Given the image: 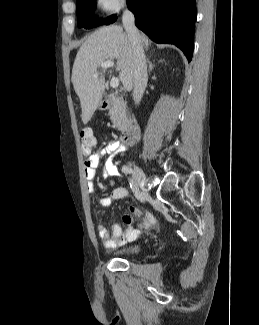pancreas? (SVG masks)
Masks as SVG:
<instances>
[{"instance_id": "obj_1", "label": "pancreas", "mask_w": 259, "mask_h": 325, "mask_svg": "<svg viewBox=\"0 0 259 325\" xmlns=\"http://www.w3.org/2000/svg\"><path fill=\"white\" fill-rule=\"evenodd\" d=\"M110 119L113 125L124 132L127 129L129 119L127 115L126 105L120 98L115 95L111 96V107L109 110Z\"/></svg>"}]
</instances>
